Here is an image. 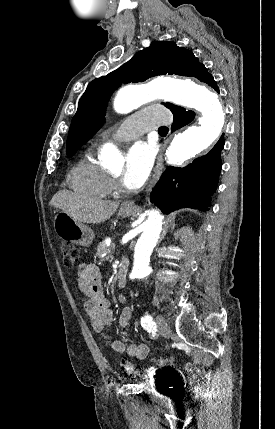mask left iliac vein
Here are the masks:
<instances>
[{
	"label": "left iliac vein",
	"mask_w": 275,
	"mask_h": 429,
	"mask_svg": "<svg viewBox=\"0 0 275 429\" xmlns=\"http://www.w3.org/2000/svg\"><path fill=\"white\" fill-rule=\"evenodd\" d=\"M156 325H157V329L158 332L163 335V336H169L170 334V328L169 325L167 323V321L165 320V318L161 315H158L156 317Z\"/></svg>",
	"instance_id": "obj_1"
}]
</instances>
